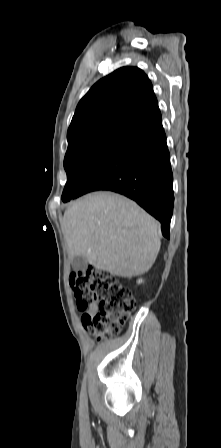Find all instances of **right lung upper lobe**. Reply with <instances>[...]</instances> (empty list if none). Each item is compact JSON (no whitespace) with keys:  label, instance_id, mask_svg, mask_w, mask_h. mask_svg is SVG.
<instances>
[{"label":"right lung upper lobe","instance_id":"obj_1","mask_svg":"<svg viewBox=\"0 0 221 448\" xmlns=\"http://www.w3.org/2000/svg\"><path fill=\"white\" fill-rule=\"evenodd\" d=\"M159 113L147 75L137 67L119 68L80 100L67 132V151L93 142L118 141Z\"/></svg>","mask_w":221,"mask_h":448}]
</instances>
